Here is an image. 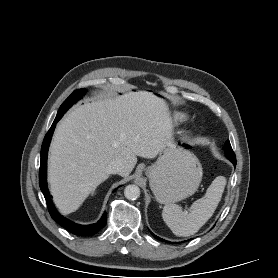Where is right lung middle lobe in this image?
Listing matches in <instances>:
<instances>
[{
  "instance_id": "obj_1",
  "label": "right lung middle lobe",
  "mask_w": 278,
  "mask_h": 278,
  "mask_svg": "<svg viewBox=\"0 0 278 278\" xmlns=\"http://www.w3.org/2000/svg\"><path fill=\"white\" fill-rule=\"evenodd\" d=\"M86 90L85 89H79L74 91L64 102L63 104L60 106V109L58 112H66L68 110V108H70L73 103H75L76 101H78L84 94H85Z\"/></svg>"
}]
</instances>
